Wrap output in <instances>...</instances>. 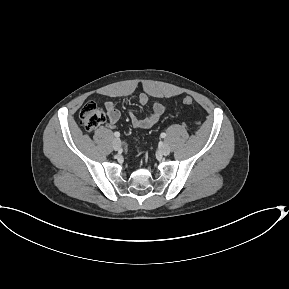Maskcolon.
<instances>
[{
    "mask_svg": "<svg viewBox=\"0 0 289 289\" xmlns=\"http://www.w3.org/2000/svg\"><path fill=\"white\" fill-rule=\"evenodd\" d=\"M193 100L190 96L183 98L185 105L192 104ZM79 118L82 126L87 131H92L99 127L105 120L102 108L93 101H89L83 105L80 110Z\"/></svg>",
    "mask_w": 289,
    "mask_h": 289,
    "instance_id": "obj_1",
    "label": "colon"
}]
</instances>
